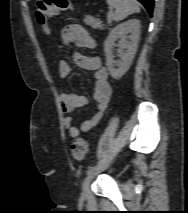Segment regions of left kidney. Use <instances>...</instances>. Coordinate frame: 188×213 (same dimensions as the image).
Instances as JSON below:
<instances>
[{
	"label": "left kidney",
	"instance_id": "left-kidney-1",
	"mask_svg": "<svg viewBox=\"0 0 188 213\" xmlns=\"http://www.w3.org/2000/svg\"><path fill=\"white\" fill-rule=\"evenodd\" d=\"M140 28V21L138 19H131L120 23L110 31L104 42V52L106 55V66L112 78L120 79L131 66L140 39ZM128 33L130 35L127 37ZM118 39H120L118 46L121 50V60L118 63V67H115L113 46Z\"/></svg>",
	"mask_w": 188,
	"mask_h": 213
}]
</instances>
